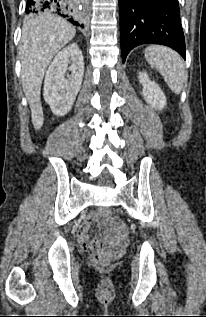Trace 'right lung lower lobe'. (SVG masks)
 <instances>
[{
	"instance_id": "right-lung-lower-lobe-1",
	"label": "right lung lower lobe",
	"mask_w": 206,
	"mask_h": 317,
	"mask_svg": "<svg viewBox=\"0 0 206 317\" xmlns=\"http://www.w3.org/2000/svg\"><path fill=\"white\" fill-rule=\"evenodd\" d=\"M48 11L55 12L74 25L84 28V24L77 21L79 12L74 8L73 0H27L26 14Z\"/></svg>"
}]
</instances>
